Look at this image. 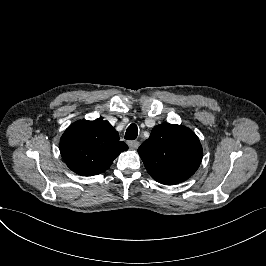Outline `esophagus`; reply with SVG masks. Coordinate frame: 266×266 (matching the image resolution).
<instances>
[{"mask_svg":"<svg viewBox=\"0 0 266 266\" xmlns=\"http://www.w3.org/2000/svg\"><path fill=\"white\" fill-rule=\"evenodd\" d=\"M127 145L129 146L130 149H136L139 146V142L136 140H130L127 142Z\"/></svg>","mask_w":266,"mask_h":266,"instance_id":"1","label":"esophagus"}]
</instances>
